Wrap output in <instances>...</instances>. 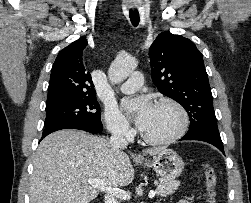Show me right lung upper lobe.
I'll return each instance as SVG.
<instances>
[{
    "label": "right lung upper lobe",
    "instance_id": "1",
    "mask_svg": "<svg viewBox=\"0 0 251 203\" xmlns=\"http://www.w3.org/2000/svg\"><path fill=\"white\" fill-rule=\"evenodd\" d=\"M86 45L81 37L59 52L51 70L46 107L95 97L91 75L82 61Z\"/></svg>",
    "mask_w": 251,
    "mask_h": 203
}]
</instances>
